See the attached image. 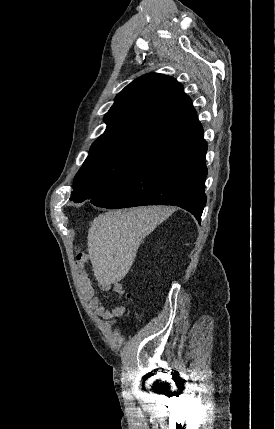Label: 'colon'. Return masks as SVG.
<instances>
[{
    "mask_svg": "<svg viewBox=\"0 0 275 429\" xmlns=\"http://www.w3.org/2000/svg\"><path fill=\"white\" fill-rule=\"evenodd\" d=\"M78 260H79V261H82V260H83V255H82V254H79V255H78ZM127 297L129 298V297H130V295H128Z\"/></svg>",
    "mask_w": 275,
    "mask_h": 429,
    "instance_id": "colon-1",
    "label": "colon"
}]
</instances>
